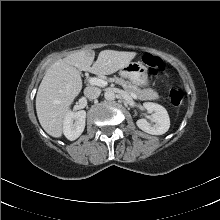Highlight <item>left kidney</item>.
<instances>
[{
	"instance_id": "left-kidney-1",
	"label": "left kidney",
	"mask_w": 220,
	"mask_h": 220,
	"mask_svg": "<svg viewBox=\"0 0 220 220\" xmlns=\"http://www.w3.org/2000/svg\"><path fill=\"white\" fill-rule=\"evenodd\" d=\"M143 107L151 114V121L149 123L146 119L137 120V126L144 132L152 135H162L166 133L170 127V119L167 110L156 103L145 102Z\"/></svg>"
}]
</instances>
